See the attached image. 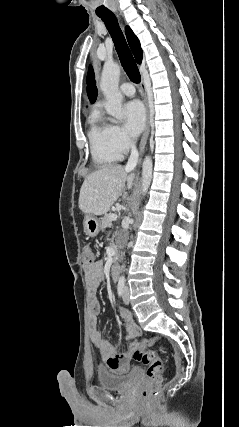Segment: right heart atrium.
Listing matches in <instances>:
<instances>
[{"instance_id": "1", "label": "right heart atrium", "mask_w": 239, "mask_h": 427, "mask_svg": "<svg viewBox=\"0 0 239 427\" xmlns=\"http://www.w3.org/2000/svg\"><path fill=\"white\" fill-rule=\"evenodd\" d=\"M109 135L112 145L121 156L132 148L133 141L121 126L110 124Z\"/></svg>"}]
</instances>
